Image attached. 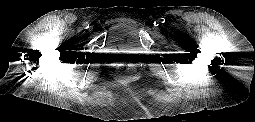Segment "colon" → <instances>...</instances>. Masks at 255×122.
Wrapping results in <instances>:
<instances>
[{
  "instance_id": "obj_1",
  "label": "colon",
  "mask_w": 255,
  "mask_h": 122,
  "mask_svg": "<svg viewBox=\"0 0 255 122\" xmlns=\"http://www.w3.org/2000/svg\"><path fill=\"white\" fill-rule=\"evenodd\" d=\"M118 72L123 78L129 79L134 76L135 70L132 65L124 63L119 67Z\"/></svg>"
}]
</instances>
